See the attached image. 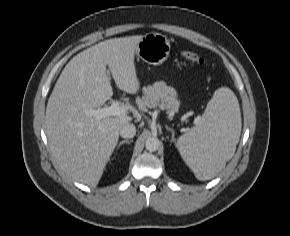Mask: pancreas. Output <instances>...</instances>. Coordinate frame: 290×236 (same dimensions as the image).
Listing matches in <instances>:
<instances>
[{"label":"pancreas","instance_id":"pancreas-1","mask_svg":"<svg viewBox=\"0 0 290 236\" xmlns=\"http://www.w3.org/2000/svg\"><path fill=\"white\" fill-rule=\"evenodd\" d=\"M144 96L139 102L141 110L155 108L159 104L166 107L169 113H176L179 110L180 102L177 99L176 90L169 87L165 82H156L152 86L143 89Z\"/></svg>","mask_w":290,"mask_h":236}]
</instances>
